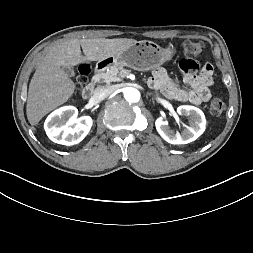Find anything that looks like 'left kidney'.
<instances>
[{
    "instance_id": "5707ae66",
    "label": "left kidney",
    "mask_w": 253,
    "mask_h": 253,
    "mask_svg": "<svg viewBox=\"0 0 253 253\" xmlns=\"http://www.w3.org/2000/svg\"><path fill=\"white\" fill-rule=\"evenodd\" d=\"M179 115L189 117V126L184 131L174 133L168 127V122L163 118L155 121L157 132L160 136L170 144H187L196 140L205 130L206 119L204 113L195 106L182 105L177 108Z\"/></svg>"
}]
</instances>
